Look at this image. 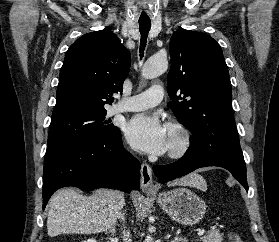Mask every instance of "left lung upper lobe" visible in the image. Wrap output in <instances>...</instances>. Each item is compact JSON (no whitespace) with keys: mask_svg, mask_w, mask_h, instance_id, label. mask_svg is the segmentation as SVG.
Wrapping results in <instances>:
<instances>
[{"mask_svg":"<svg viewBox=\"0 0 279 242\" xmlns=\"http://www.w3.org/2000/svg\"><path fill=\"white\" fill-rule=\"evenodd\" d=\"M170 56V108L193 135L185 155H220L244 161L220 45L209 35L182 29L171 37Z\"/></svg>","mask_w":279,"mask_h":242,"instance_id":"1","label":"left lung upper lobe"}]
</instances>
